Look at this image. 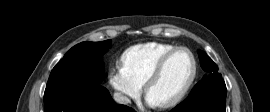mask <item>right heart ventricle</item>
I'll list each match as a JSON object with an SVG mask.
<instances>
[{"mask_svg": "<svg viewBox=\"0 0 270 112\" xmlns=\"http://www.w3.org/2000/svg\"><path fill=\"white\" fill-rule=\"evenodd\" d=\"M175 47L173 44L161 42L132 46L122 56L123 65L132 77L143 85L160 58Z\"/></svg>", "mask_w": 270, "mask_h": 112, "instance_id": "e07e8e85", "label": "right heart ventricle"}]
</instances>
